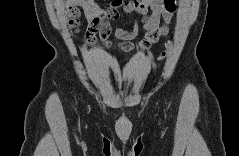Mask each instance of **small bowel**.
Returning <instances> with one entry per match:
<instances>
[{"label": "small bowel", "instance_id": "small-bowel-1", "mask_svg": "<svg viewBox=\"0 0 239 156\" xmlns=\"http://www.w3.org/2000/svg\"><path fill=\"white\" fill-rule=\"evenodd\" d=\"M74 4L80 5L85 9L86 18L89 24L93 23L97 31L93 35H86V41L93 43L96 35L108 47L112 45L109 36L112 32L109 20L119 18V10L123 9L125 13H134L140 17L139 22H134L131 30H125L122 27H116L114 34L122 43L120 48L129 52L134 49V40L141 29L144 32V39L141 47L148 48L156 43L161 37L166 36L169 32L171 23L177 9L176 0H113L110 6L103 10L95 2L90 0H73ZM101 14H112L106 19H100Z\"/></svg>", "mask_w": 239, "mask_h": 156}]
</instances>
